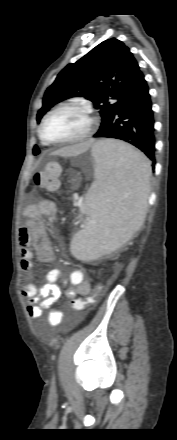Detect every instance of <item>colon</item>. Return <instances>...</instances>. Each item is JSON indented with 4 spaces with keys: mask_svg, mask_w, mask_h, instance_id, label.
Listing matches in <instances>:
<instances>
[{
    "mask_svg": "<svg viewBox=\"0 0 177 440\" xmlns=\"http://www.w3.org/2000/svg\"><path fill=\"white\" fill-rule=\"evenodd\" d=\"M61 173L60 166L58 164H49L45 170L37 171L33 175V183L35 186L47 189L49 191H58L60 187L59 176ZM101 293L100 289L85 296V298H68L66 303L69 305L72 311H83L85 306L95 303Z\"/></svg>",
    "mask_w": 177,
    "mask_h": 440,
    "instance_id": "1",
    "label": "colon"
}]
</instances>
